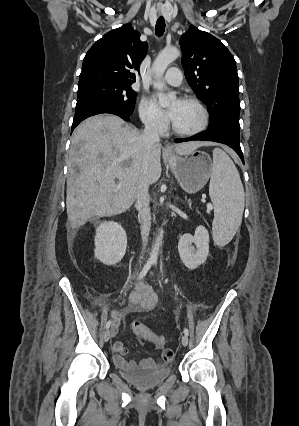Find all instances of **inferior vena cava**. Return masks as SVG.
Wrapping results in <instances>:
<instances>
[{
	"mask_svg": "<svg viewBox=\"0 0 299 426\" xmlns=\"http://www.w3.org/2000/svg\"><path fill=\"white\" fill-rule=\"evenodd\" d=\"M145 129L142 137L145 146L150 149L153 145L159 144L158 123L154 120H146L144 122ZM149 168V156H146L142 167V179L137 191L135 207L138 210V216L141 219V236L143 247L148 242L149 231L151 227V212H150V196L149 183L147 173ZM142 258V257H141Z\"/></svg>",
	"mask_w": 299,
	"mask_h": 426,
	"instance_id": "obj_1",
	"label": "inferior vena cava"
}]
</instances>
